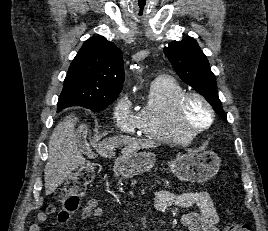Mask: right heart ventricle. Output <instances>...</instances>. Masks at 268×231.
<instances>
[{"mask_svg":"<svg viewBox=\"0 0 268 231\" xmlns=\"http://www.w3.org/2000/svg\"><path fill=\"white\" fill-rule=\"evenodd\" d=\"M184 88L172 77H158L148 91L147 101L138 111V124L143 135L153 141H186L174 121V104Z\"/></svg>","mask_w":268,"mask_h":231,"instance_id":"e07e8e85","label":"right heart ventricle"}]
</instances>
